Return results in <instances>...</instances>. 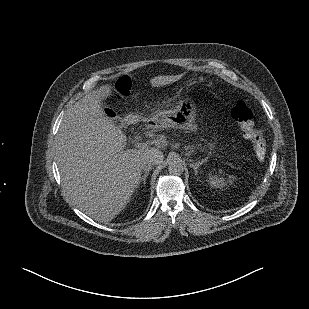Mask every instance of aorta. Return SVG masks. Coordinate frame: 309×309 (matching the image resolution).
<instances>
[{
  "label": "aorta",
  "instance_id": "obj_1",
  "mask_svg": "<svg viewBox=\"0 0 309 309\" xmlns=\"http://www.w3.org/2000/svg\"><path fill=\"white\" fill-rule=\"evenodd\" d=\"M184 162L180 158H173L168 165V171L173 176H179L184 172Z\"/></svg>",
  "mask_w": 309,
  "mask_h": 309
}]
</instances>
